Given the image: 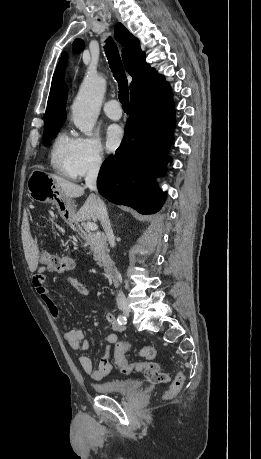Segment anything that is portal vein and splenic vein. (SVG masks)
Instances as JSON below:
<instances>
[{
	"instance_id": "18ae733b",
	"label": "portal vein and splenic vein",
	"mask_w": 261,
	"mask_h": 459,
	"mask_svg": "<svg viewBox=\"0 0 261 459\" xmlns=\"http://www.w3.org/2000/svg\"><path fill=\"white\" fill-rule=\"evenodd\" d=\"M86 228L91 231H95L98 229V226L95 223L89 222L86 225Z\"/></svg>"
}]
</instances>
